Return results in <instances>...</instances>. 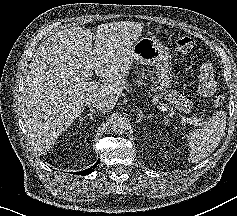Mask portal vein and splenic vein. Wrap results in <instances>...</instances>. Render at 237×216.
<instances>
[{
	"mask_svg": "<svg viewBox=\"0 0 237 216\" xmlns=\"http://www.w3.org/2000/svg\"><path fill=\"white\" fill-rule=\"evenodd\" d=\"M83 85H85L84 82L78 83V86H83ZM184 122H186V118L182 116V123H184Z\"/></svg>",
	"mask_w": 237,
	"mask_h": 216,
	"instance_id": "1",
	"label": "portal vein and splenic vein"
}]
</instances>
